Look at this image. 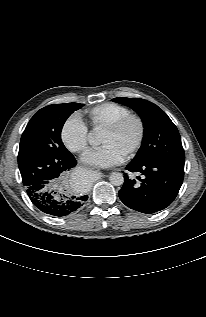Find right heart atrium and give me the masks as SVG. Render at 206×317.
Wrapping results in <instances>:
<instances>
[{"label":"right heart atrium","instance_id":"d8ad5b80","mask_svg":"<svg viewBox=\"0 0 206 317\" xmlns=\"http://www.w3.org/2000/svg\"><path fill=\"white\" fill-rule=\"evenodd\" d=\"M61 139L72 152H84L89 142V131L85 122L78 116H69L61 127Z\"/></svg>","mask_w":206,"mask_h":317}]
</instances>
